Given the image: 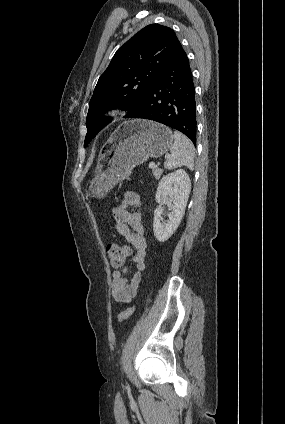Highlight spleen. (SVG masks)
Here are the masks:
<instances>
[{
	"label": "spleen",
	"mask_w": 285,
	"mask_h": 424,
	"mask_svg": "<svg viewBox=\"0 0 285 424\" xmlns=\"http://www.w3.org/2000/svg\"><path fill=\"white\" fill-rule=\"evenodd\" d=\"M174 143L170 148L171 157L166 160L164 167L173 169L181 166H187L190 170L194 169V146L192 142L182 133L174 132Z\"/></svg>",
	"instance_id": "3e777b00"
}]
</instances>
